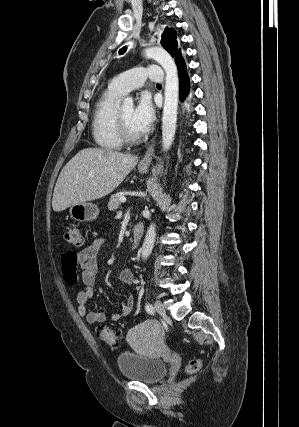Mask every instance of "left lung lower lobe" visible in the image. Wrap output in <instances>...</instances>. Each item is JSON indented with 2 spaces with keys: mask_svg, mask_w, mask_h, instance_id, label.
Wrapping results in <instances>:
<instances>
[{
  "mask_svg": "<svg viewBox=\"0 0 299 427\" xmlns=\"http://www.w3.org/2000/svg\"><path fill=\"white\" fill-rule=\"evenodd\" d=\"M174 57H175V62L178 68L180 99L184 101L189 94L190 83H189V77L186 71L187 70L186 64L181 54V49L177 50Z\"/></svg>",
  "mask_w": 299,
  "mask_h": 427,
  "instance_id": "obj_1",
  "label": "left lung lower lobe"
}]
</instances>
